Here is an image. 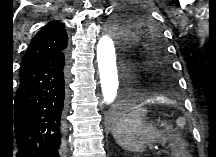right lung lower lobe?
I'll return each instance as SVG.
<instances>
[{"instance_id": "1", "label": "right lung lower lobe", "mask_w": 216, "mask_h": 157, "mask_svg": "<svg viewBox=\"0 0 216 157\" xmlns=\"http://www.w3.org/2000/svg\"><path fill=\"white\" fill-rule=\"evenodd\" d=\"M64 53L20 75L12 117L14 157H62L65 138Z\"/></svg>"}]
</instances>
